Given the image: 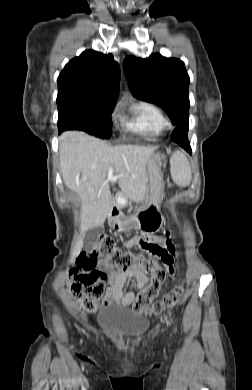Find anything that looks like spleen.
<instances>
[{"mask_svg": "<svg viewBox=\"0 0 252 390\" xmlns=\"http://www.w3.org/2000/svg\"><path fill=\"white\" fill-rule=\"evenodd\" d=\"M170 172L175 184L186 187L192 179L191 168L182 152H175L170 158Z\"/></svg>", "mask_w": 252, "mask_h": 390, "instance_id": "obj_1", "label": "spleen"}]
</instances>
